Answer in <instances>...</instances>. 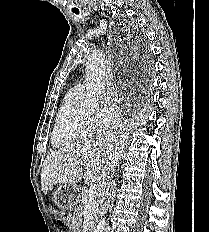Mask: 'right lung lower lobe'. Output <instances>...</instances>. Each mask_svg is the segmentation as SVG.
I'll return each instance as SVG.
<instances>
[{"label": "right lung lower lobe", "mask_w": 209, "mask_h": 232, "mask_svg": "<svg viewBox=\"0 0 209 232\" xmlns=\"http://www.w3.org/2000/svg\"><path fill=\"white\" fill-rule=\"evenodd\" d=\"M140 62H136V64H134V67H133V72L135 75H139V76H142L144 77V72L143 70L146 68V65H147V60H148V52H147V49L145 47H142L141 48V51H140ZM146 75V74H145Z\"/></svg>", "instance_id": "obj_1"}]
</instances>
